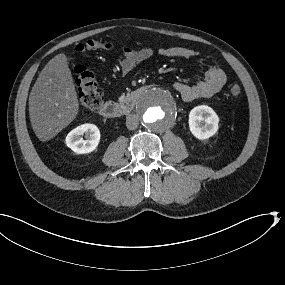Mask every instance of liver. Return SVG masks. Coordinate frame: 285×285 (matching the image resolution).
<instances>
[{
    "instance_id": "obj_1",
    "label": "liver",
    "mask_w": 285,
    "mask_h": 285,
    "mask_svg": "<svg viewBox=\"0 0 285 285\" xmlns=\"http://www.w3.org/2000/svg\"><path fill=\"white\" fill-rule=\"evenodd\" d=\"M64 53L40 72L29 96L32 129L41 142L56 137L79 113L78 94Z\"/></svg>"
}]
</instances>
